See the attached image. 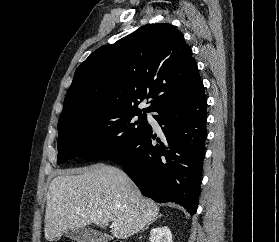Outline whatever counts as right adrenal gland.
Instances as JSON below:
<instances>
[{
    "label": "right adrenal gland",
    "mask_w": 279,
    "mask_h": 242,
    "mask_svg": "<svg viewBox=\"0 0 279 242\" xmlns=\"http://www.w3.org/2000/svg\"><path fill=\"white\" fill-rule=\"evenodd\" d=\"M160 217H162V215L160 214L157 218H160ZM156 218V219H157ZM155 219V220H156ZM155 220H153L151 223H149L147 226H146V228H144L142 231H144L145 229H148V227H149V225H151Z\"/></svg>",
    "instance_id": "right-adrenal-gland-1"
}]
</instances>
